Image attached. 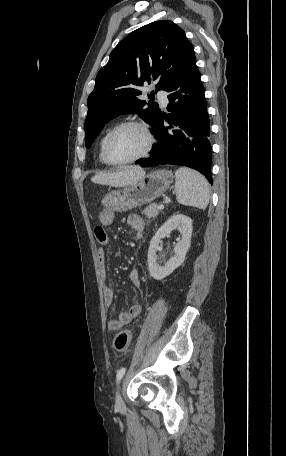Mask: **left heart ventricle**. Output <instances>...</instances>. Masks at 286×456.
<instances>
[{
    "mask_svg": "<svg viewBox=\"0 0 286 456\" xmlns=\"http://www.w3.org/2000/svg\"><path fill=\"white\" fill-rule=\"evenodd\" d=\"M144 132L137 127H128L120 131L112 140L110 156L115 161H125L140 155L146 148Z\"/></svg>",
    "mask_w": 286,
    "mask_h": 456,
    "instance_id": "b2bd125f",
    "label": "left heart ventricle"
}]
</instances>
